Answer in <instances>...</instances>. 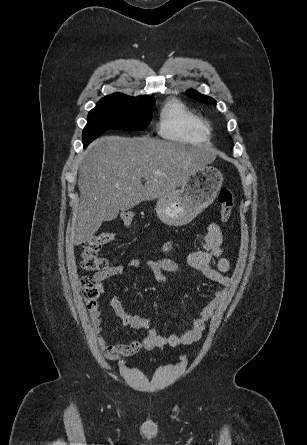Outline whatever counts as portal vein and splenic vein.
I'll return each mask as SVG.
<instances>
[{
    "label": "portal vein and splenic vein",
    "instance_id": "obj_1",
    "mask_svg": "<svg viewBox=\"0 0 307 445\" xmlns=\"http://www.w3.org/2000/svg\"><path fill=\"white\" fill-rule=\"evenodd\" d=\"M153 174H165V172H161V170H156V172H153Z\"/></svg>",
    "mask_w": 307,
    "mask_h": 445
}]
</instances>
